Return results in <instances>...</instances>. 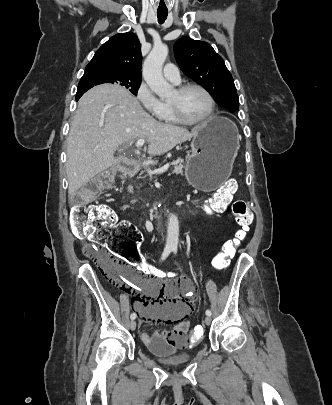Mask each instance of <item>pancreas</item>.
I'll list each match as a JSON object with an SVG mask.
<instances>
[{"mask_svg":"<svg viewBox=\"0 0 332 405\" xmlns=\"http://www.w3.org/2000/svg\"><path fill=\"white\" fill-rule=\"evenodd\" d=\"M172 165H174V169L172 170L171 173H169V175H171V174L183 175V168H184L183 164L178 163L177 161H175V162L172 163Z\"/></svg>","mask_w":332,"mask_h":405,"instance_id":"cf45deb5","label":"pancreas"}]
</instances>
